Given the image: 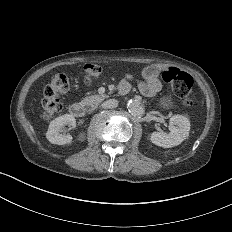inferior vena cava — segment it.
<instances>
[{"label":"inferior vena cava","instance_id":"inferior-vena-cava-1","mask_svg":"<svg viewBox=\"0 0 232 232\" xmlns=\"http://www.w3.org/2000/svg\"><path fill=\"white\" fill-rule=\"evenodd\" d=\"M118 106V101L116 99H109L102 104L103 108H115Z\"/></svg>","mask_w":232,"mask_h":232}]
</instances>
